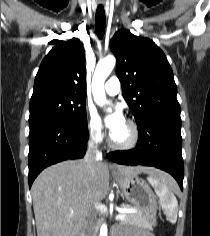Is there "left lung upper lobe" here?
Returning <instances> with one entry per match:
<instances>
[{"mask_svg":"<svg viewBox=\"0 0 210 236\" xmlns=\"http://www.w3.org/2000/svg\"><path fill=\"white\" fill-rule=\"evenodd\" d=\"M110 47L117 59L123 97L137 126L153 115H180L171 66L152 40L121 29L111 39Z\"/></svg>","mask_w":210,"mask_h":236,"instance_id":"1","label":"left lung upper lobe"}]
</instances>
